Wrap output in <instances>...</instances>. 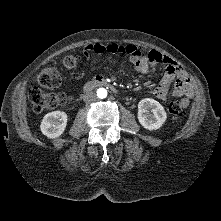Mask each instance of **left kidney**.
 <instances>
[{
    "instance_id": "1",
    "label": "left kidney",
    "mask_w": 221,
    "mask_h": 221,
    "mask_svg": "<svg viewBox=\"0 0 221 221\" xmlns=\"http://www.w3.org/2000/svg\"><path fill=\"white\" fill-rule=\"evenodd\" d=\"M150 110V111H149ZM151 112V113H150ZM139 123L147 130H158L166 121L164 107L156 100L145 98L138 103Z\"/></svg>"
}]
</instances>
